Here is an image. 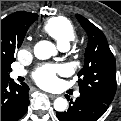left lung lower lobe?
I'll use <instances>...</instances> for the list:
<instances>
[{
	"label": "left lung lower lobe",
	"instance_id": "left-lung-lower-lobe-1",
	"mask_svg": "<svg viewBox=\"0 0 121 121\" xmlns=\"http://www.w3.org/2000/svg\"><path fill=\"white\" fill-rule=\"evenodd\" d=\"M108 106L90 96L80 95L74 102L70 101L67 112H57L56 115L60 121H96Z\"/></svg>",
	"mask_w": 121,
	"mask_h": 121
}]
</instances>
